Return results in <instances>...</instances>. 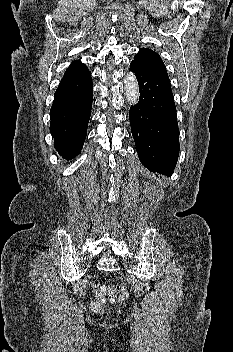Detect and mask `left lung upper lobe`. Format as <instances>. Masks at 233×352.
Returning a JSON list of instances; mask_svg holds the SVG:
<instances>
[{"instance_id": "5c2ea615", "label": "left lung upper lobe", "mask_w": 233, "mask_h": 352, "mask_svg": "<svg viewBox=\"0 0 233 352\" xmlns=\"http://www.w3.org/2000/svg\"><path fill=\"white\" fill-rule=\"evenodd\" d=\"M142 67L162 78L169 80L165 65L161 57L149 48H141L134 60Z\"/></svg>"}]
</instances>
